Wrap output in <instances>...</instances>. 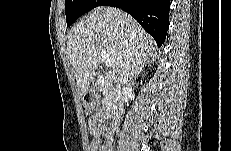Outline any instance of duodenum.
I'll return each mask as SVG.
<instances>
[{
	"mask_svg": "<svg viewBox=\"0 0 231 151\" xmlns=\"http://www.w3.org/2000/svg\"><path fill=\"white\" fill-rule=\"evenodd\" d=\"M91 101V97H89L88 102ZM121 113L120 111H118L117 109H111L108 114H107V118L110 121H118L120 119Z\"/></svg>",
	"mask_w": 231,
	"mask_h": 151,
	"instance_id": "410a0bca",
	"label": "duodenum"
}]
</instances>
